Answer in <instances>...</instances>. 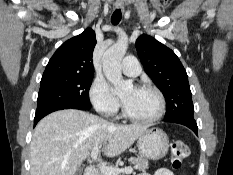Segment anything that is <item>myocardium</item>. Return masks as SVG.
Listing matches in <instances>:
<instances>
[{"label": "myocardium", "mask_w": 233, "mask_h": 175, "mask_svg": "<svg viewBox=\"0 0 233 175\" xmlns=\"http://www.w3.org/2000/svg\"><path fill=\"white\" fill-rule=\"evenodd\" d=\"M137 88L150 90V91L155 93V95L158 98V102H159L158 110L151 117L138 118V117H135L129 113L124 101L122 100V114H123V116L127 120H129L133 123H137V124H150V123H153V122L159 120L164 115L165 110H166V100H165V97H164V94L162 93V91L157 86L149 84V83L141 84V85L137 86Z\"/></svg>", "instance_id": "myocardium-1"}]
</instances>
